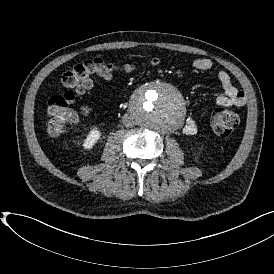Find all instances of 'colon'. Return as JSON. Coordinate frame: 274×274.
Returning <instances> with one entry per match:
<instances>
[{"label":"colon","instance_id":"5ec220e1","mask_svg":"<svg viewBox=\"0 0 274 274\" xmlns=\"http://www.w3.org/2000/svg\"><path fill=\"white\" fill-rule=\"evenodd\" d=\"M107 63L99 58L75 65L61 77L62 86L66 92L63 95H53L47 101V109L51 117L47 124L50 136H58L72 127L78 121V114L70 106L73 103L72 94L80 90L83 83L100 75L102 67ZM85 112L87 109L81 107ZM239 124L238 114L234 111L219 109L212 115L211 127L215 134L227 136L234 132Z\"/></svg>","mask_w":274,"mask_h":274}]
</instances>
